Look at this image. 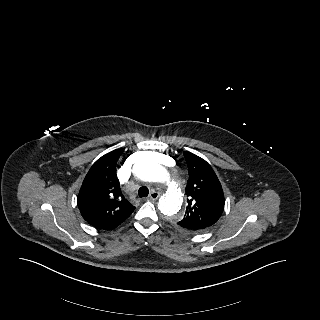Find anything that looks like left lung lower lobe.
Listing matches in <instances>:
<instances>
[{
    "mask_svg": "<svg viewBox=\"0 0 320 320\" xmlns=\"http://www.w3.org/2000/svg\"><path fill=\"white\" fill-rule=\"evenodd\" d=\"M182 229H184V230H186V231H188V232H194V231H191V230H189V229H187V228H184V227H182Z\"/></svg>",
    "mask_w": 320,
    "mask_h": 320,
    "instance_id": "obj_1",
    "label": "left lung lower lobe"
}]
</instances>
